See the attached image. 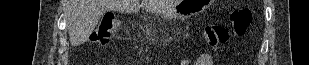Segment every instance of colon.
I'll use <instances>...</instances> for the list:
<instances>
[{
	"mask_svg": "<svg viewBox=\"0 0 309 65\" xmlns=\"http://www.w3.org/2000/svg\"><path fill=\"white\" fill-rule=\"evenodd\" d=\"M252 22V13L249 9L235 10L230 16L229 27L219 24H207L202 28V36L209 46H216L226 42L231 37H239L246 34ZM121 27V21L114 15L103 18L96 41L101 45H109L115 38L117 30Z\"/></svg>",
	"mask_w": 309,
	"mask_h": 65,
	"instance_id": "colon-1",
	"label": "colon"
}]
</instances>
